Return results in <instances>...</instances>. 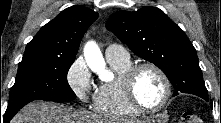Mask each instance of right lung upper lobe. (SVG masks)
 <instances>
[{
	"label": "right lung upper lobe",
	"instance_id": "right-lung-upper-lobe-1",
	"mask_svg": "<svg viewBox=\"0 0 221 123\" xmlns=\"http://www.w3.org/2000/svg\"><path fill=\"white\" fill-rule=\"evenodd\" d=\"M98 16V13L83 6L63 10L27 44L24 56L75 57L84 33Z\"/></svg>",
	"mask_w": 221,
	"mask_h": 123
}]
</instances>
